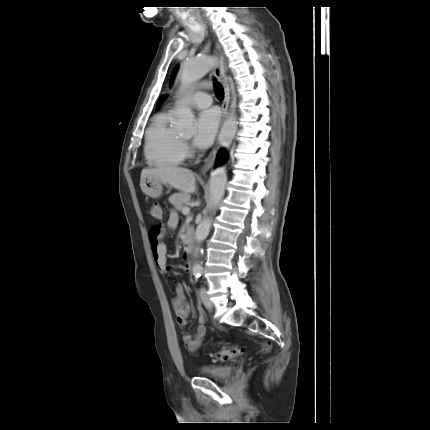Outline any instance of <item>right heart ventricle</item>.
<instances>
[{
	"label": "right heart ventricle",
	"mask_w": 430,
	"mask_h": 430,
	"mask_svg": "<svg viewBox=\"0 0 430 430\" xmlns=\"http://www.w3.org/2000/svg\"><path fill=\"white\" fill-rule=\"evenodd\" d=\"M173 114H157L145 133L144 156L153 167H177L182 164L185 151L178 134L171 127Z\"/></svg>",
	"instance_id": "e07e8e85"
}]
</instances>
